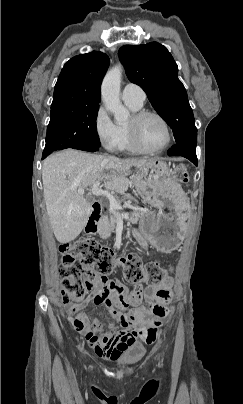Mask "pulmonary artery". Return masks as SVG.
Segmentation results:
<instances>
[{"instance_id":"1","label":"pulmonary artery","mask_w":243,"mask_h":404,"mask_svg":"<svg viewBox=\"0 0 243 404\" xmlns=\"http://www.w3.org/2000/svg\"><path fill=\"white\" fill-rule=\"evenodd\" d=\"M122 98L144 103L146 94L138 84L128 82L122 87Z\"/></svg>"}]
</instances>
